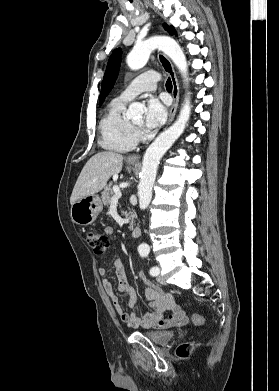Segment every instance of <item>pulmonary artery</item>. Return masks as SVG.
I'll list each match as a JSON object with an SVG mask.
<instances>
[{"label":"pulmonary artery","instance_id":"obj_1","mask_svg":"<svg viewBox=\"0 0 279 391\" xmlns=\"http://www.w3.org/2000/svg\"><path fill=\"white\" fill-rule=\"evenodd\" d=\"M160 76L155 71H147L133 79L121 92L120 98L130 101L143 92H150L156 89Z\"/></svg>","mask_w":279,"mask_h":391}]
</instances>
